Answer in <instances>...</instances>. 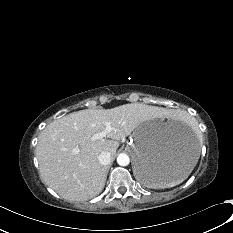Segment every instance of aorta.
I'll return each mask as SVG.
<instances>
[{"instance_id":"762f6f07","label":"aorta","mask_w":233,"mask_h":233,"mask_svg":"<svg viewBox=\"0 0 233 233\" xmlns=\"http://www.w3.org/2000/svg\"><path fill=\"white\" fill-rule=\"evenodd\" d=\"M117 163L120 166H127L130 163V158L127 154L121 153L117 157Z\"/></svg>"}]
</instances>
